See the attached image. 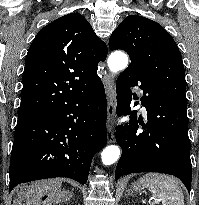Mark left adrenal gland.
I'll return each mask as SVG.
<instances>
[{
    "label": "left adrenal gland",
    "mask_w": 199,
    "mask_h": 205,
    "mask_svg": "<svg viewBox=\"0 0 199 205\" xmlns=\"http://www.w3.org/2000/svg\"><path fill=\"white\" fill-rule=\"evenodd\" d=\"M129 195L133 196V194L130 190L127 192L126 196H129Z\"/></svg>",
    "instance_id": "left-adrenal-gland-1"
}]
</instances>
